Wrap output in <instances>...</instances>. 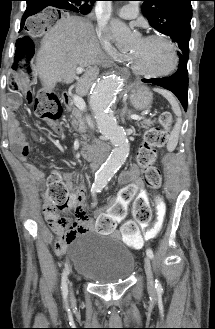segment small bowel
<instances>
[{"mask_svg": "<svg viewBox=\"0 0 215 329\" xmlns=\"http://www.w3.org/2000/svg\"><path fill=\"white\" fill-rule=\"evenodd\" d=\"M9 135L12 140V145L15 153L22 161H26L31 152L32 145L26 140V135L18 122L14 119L9 121ZM29 171L37 180H45L44 173L34 167L29 166ZM63 178L68 182L69 188L73 189L72 173H66ZM120 191L115 193L108 208L102 207L96 211V234L97 236H110L111 232H116V227H123V215L127 214L128 218H151L152 206H149V187H144L139 172L136 167H131L123 171L119 176ZM127 210H130L127 212ZM44 216L50 226L62 219L61 215L54 212L50 205L45 202L43 206ZM75 226L69 233L68 242L58 244L55 242L54 248L57 254L61 255L65 252L67 244L71 243L80 233L89 232L94 229V221L81 212L72 221ZM125 239V238H124ZM126 243L134 249H140L145 243V239L137 237L134 240L125 239Z\"/></svg>", "mask_w": 215, "mask_h": 329, "instance_id": "small-bowel-1", "label": "small bowel"}]
</instances>
